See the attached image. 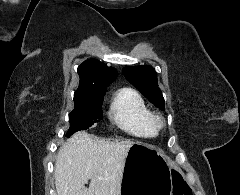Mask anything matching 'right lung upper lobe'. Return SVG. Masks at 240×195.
I'll return each instance as SVG.
<instances>
[{"mask_svg":"<svg viewBox=\"0 0 240 195\" xmlns=\"http://www.w3.org/2000/svg\"><path fill=\"white\" fill-rule=\"evenodd\" d=\"M79 87L74 100L104 98L106 88L116 79L117 71L97 59H88L78 67Z\"/></svg>","mask_w":240,"mask_h":195,"instance_id":"obj_1","label":"right lung upper lobe"}]
</instances>
